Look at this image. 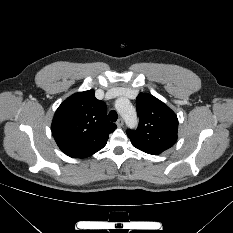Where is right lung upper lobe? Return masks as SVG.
<instances>
[{"label": "right lung upper lobe", "instance_id": "cb5924a9", "mask_svg": "<svg viewBox=\"0 0 233 233\" xmlns=\"http://www.w3.org/2000/svg\"><path fill=\"white\" fill-rule=\"evenodd\" d=\"M93 90L67 98L55 112L52 134L58 147L73 158H86L102 149L117 126L107 118L106 104Z\"/></svg>", "mask_w": 233, "mask_h": 233}]
</instances>
